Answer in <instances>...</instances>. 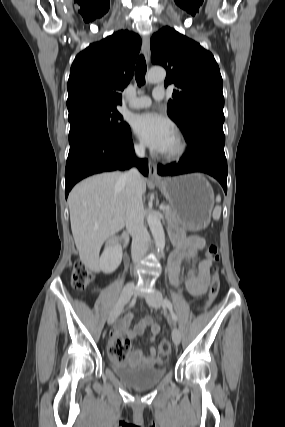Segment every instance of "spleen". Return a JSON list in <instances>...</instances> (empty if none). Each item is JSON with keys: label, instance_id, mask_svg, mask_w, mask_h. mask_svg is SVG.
<instances>
[{"label": "spleen", "instance_id": "spleen-1", "mask_svg": "<svg viewBox=\"0 0 285 427\" xmlns=\"http://www.w3.org/2000/svg\"><path fill=\"white\" fill-rule=\"evenodd\" d=\"M220 201H221V197L217 196L216 202L219 203ZM220 216H221V206H216L213 210L212 217L214 220H219Z\"/></svg>", "mask_w": 285, "mask_h": 427}]
</instances>
